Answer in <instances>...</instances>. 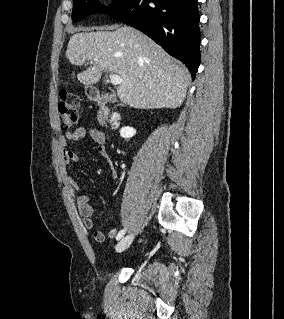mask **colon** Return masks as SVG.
<instances>
[{
    "label": "colon",
    "instance_id": "obj_1",
    "mask_svg": "<svg viewBox=\"0 0 284 319\" xmlns=\"http://www.w3.org/2000/svg\"><path fill=\"white\" fill-rule=\"evenodd\" d=\"M79 106L76 101L70 100L67 95H63L58 104V113L61 121V128L69 130L78 121Z\"/></svg>",
    "mask_w": 284,
    "mask_h": 319
}]
</instances>
